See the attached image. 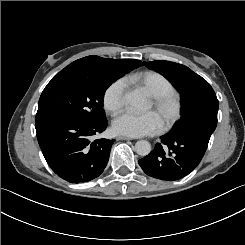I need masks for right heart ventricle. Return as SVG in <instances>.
Here are the masks:
<instances>
[{"label":"right heart ventricle","instance_id":"1","mask_svg":"<svg viewBox=\"0 0 245 245\" xmlns=\"http://www.w3.org/2000/svg\"><path fill=\"white\" fill-rule=\"evenodd\" d=\"M128 83L136 84L148 94L175 93L173 84L161 73L138 70L125 77Z\"/></svg>","mask_w":245,"mask_h":245}]
</instances>
